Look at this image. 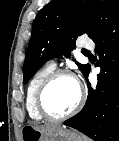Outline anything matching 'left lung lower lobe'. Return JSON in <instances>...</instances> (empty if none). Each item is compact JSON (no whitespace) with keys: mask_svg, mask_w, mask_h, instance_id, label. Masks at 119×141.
I'll return each instance as SVG.
<instances>
[{"mask_svg":"<svg viewBox=\"0 0 119 141\" xmlns=\"http://www.w3.org/2000/svg\"><path fill=\"white\" fill-rule=\"evenodd\" d=\"M101 67L98 82L90 87L83 109L66 120V126L77 129L94 141H119V9L91 37Z\"/></svg>","mask_w":119,"mask_h":141,"instance_id":"0a47b994","label":"left lung lower lobe"}]
</instances>
